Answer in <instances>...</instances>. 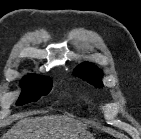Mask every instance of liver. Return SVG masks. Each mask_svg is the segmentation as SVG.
<instances>
[{
    "mask_svg": "<svg viewBox=\"0 0 141 139\" xmlns=\"http://www.w3.org/2000/svg\"><path fill=\"white\" fill-rule=\"evenodd\" d=\"M86 125L65 115L20 116L2 139H78L86 134Z\"/></svg>",
    "mask_w": 141,
    "mask_h": 139,
    "instance_id": "6515ba94",
    "label": "liver"
}]
</instances>
